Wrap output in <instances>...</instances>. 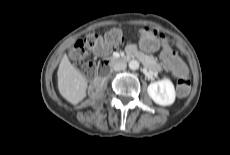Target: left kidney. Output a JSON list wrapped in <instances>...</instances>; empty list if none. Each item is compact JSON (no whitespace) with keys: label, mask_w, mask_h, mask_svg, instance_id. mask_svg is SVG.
<instances>
[{"label":"left kidney","mask_w":230,"mask_h":155,"mask_svg":"<svg viewBox=\"0 0 230 155\" xmlns=\"http://www.w3.org/2000/svg\"><path fill=\"white\" fill-rule=\"evenodd\" d=\"M147 92L156 104L162 106L171 105L175 101L174 85L167 78L151 83Z\"/></svg>","instance_id":"left-kidney-1"}]
</instances>
